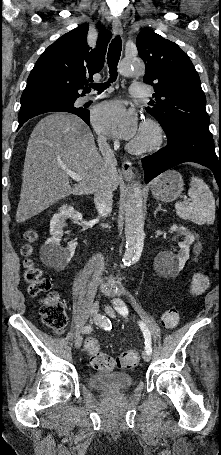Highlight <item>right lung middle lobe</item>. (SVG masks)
I'll return each instance as SVG.
<instances>
[{
	"label": "right lung middle lobe",
	"instance_id": "dd1d6c3e",
	"mask_svg": "<svg viewBox=\"0 0 221 455\" xmlns=\"http://www.w3.org/2000/svg\"><path fill=\"white\" fill-rule=\"evenodd\" d=\"M77 98H72V99H68V100H64V101H61L59 103H56L54 104L53 106L51 107H63V108H67V109H71L77 113H80V112H83L84 109L83 108H76L74 107V102ZM19 113H23V111H20Z\"/></svg>",
	"mask_w": 221,
	"mask_h": 455
}]
</instances>
